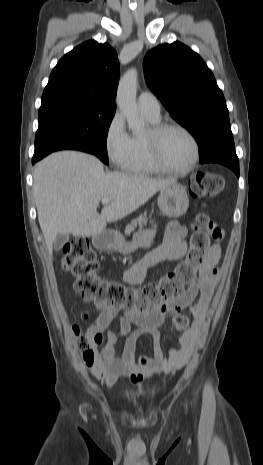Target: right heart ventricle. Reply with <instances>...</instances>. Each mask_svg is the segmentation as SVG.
Returning a JSON list of instances; mask_svg holds the SVG:
<instances>
[{"label":"right heart ventricle","mask_w":263,"mask_h":465,"mask_svg":"<svg viewBox=\"0 0 263 465\" xmlns=\"http://www.w3.org/2000/svg\"><path fill=\"white\" fill-rule=\"evenodd\" d=\"M152 125L160 122V118L146 115ZM126 170L133 174H153L163 172L153 162L145 135L131 136V152L126 165Z\"/></svg>","instance_id":"obj_1"}]
</instances>
